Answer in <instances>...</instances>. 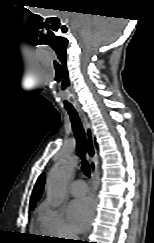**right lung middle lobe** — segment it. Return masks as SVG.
I'll return each instance as SVG.
<instances>
[{
  "mask_svg": "<svg viewBox=\"0 0 154 243\" xmlns=\"http://www.w3.org/2000/svg\"><path fill=\"white\" fill-rule=\"evenodd\" d=\"M34 207H30V209L32 210Z\"/></svg>",
  "mask_w": 154,
  "mask_h": 243,
  "instance_id": "obj_1",
  "label": "right lung middle lobe"
}]
</instances>
